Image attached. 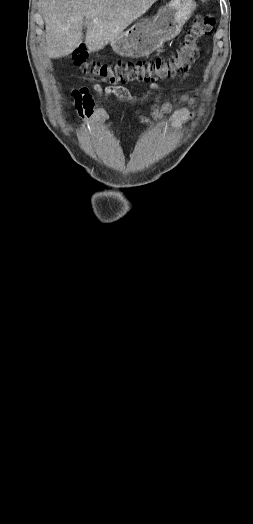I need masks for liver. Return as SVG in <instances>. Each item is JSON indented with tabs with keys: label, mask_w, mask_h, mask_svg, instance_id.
Returning <instances> with one entry per match:
<instances>
[{
	"label": "liver",
	"mask_w": 253,
	"mask_h": 524,
	"mask_svg": "<svg viewBox=\"0 0 253 524\" xmlns=\"http://www.w3.org/2000/svg\"><path fill=\"white\" fill-rule=\"evenodd\" d=\"M157 0H42L45 53L50 58L71 54L82 42L99 51L142 16Z\"/></svg>",
	"instance_id": "1"
}]
</instances>
